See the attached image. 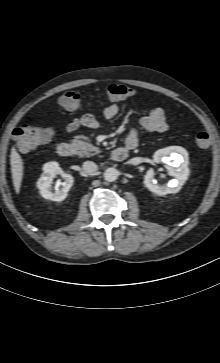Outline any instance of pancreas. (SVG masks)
Returning <instances> with one entry per match:
<instances>
[{"instance_id":"1","label":"pancreas","mask_w":220,"mask_h":363,"mask_svg":"<svg viewBox=\"0 0 220 363\" xmlns=\"http://www.w3.org/2000/svg\"><path fill=\"white\" fill-rule=\"evenodd\" d=\"M83 139L86 140L87 137L84 135H79L76 136V138L73 140V144L76 146L78 154L81 157H89L100 152L97 147L89 142L83 141Z\"/></svg>"}]
</instances>
